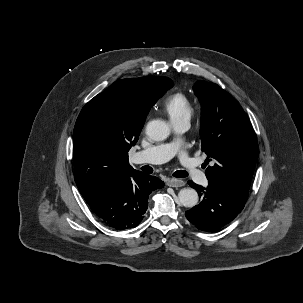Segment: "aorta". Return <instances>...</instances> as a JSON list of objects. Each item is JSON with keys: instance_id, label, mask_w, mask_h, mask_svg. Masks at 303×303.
<instances>
[{"instance_id": "1", "label": "aorta", "mask_w": 303, "mask_h": 303, "mask_svg": "<svg viewBox=\"0 0 303 303\" xmlns=\"http://www.w3.org/2000/svg\"><path fill=\"white\" fill-rule=\"evenodd\" d=\"M147 136L154 141H163L170 134L168 124L162 120H152L146 126ZM179 204L192 208L198 203V193L193 188H183L178 193Z\"/></svg>"}]
</instances>
